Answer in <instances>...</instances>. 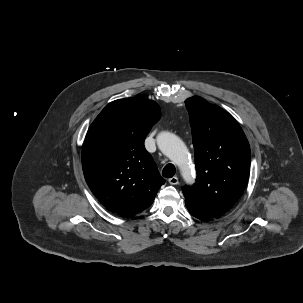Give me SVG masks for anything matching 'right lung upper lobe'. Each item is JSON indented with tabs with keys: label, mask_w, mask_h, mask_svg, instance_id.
<instances>
[{
	"label": "right lung upper lobe",
	"mask_w": 303,
	"mask_h": 303,
	"mask_svg": "<svg viewBox=\"0 0 303 303\" xmlns=\"http://www.w3.org/2000/svg\"><path fill=\"white\" fill-rule=\"evenodd\" d=\"M160 116L156 102L133 97L109 103L89 127L82 151L84 176L112 213L131 217L142 212L165 182L144 147Z\"/></svg>",
	"instance_id": "obj_1"
}]
</instances>
